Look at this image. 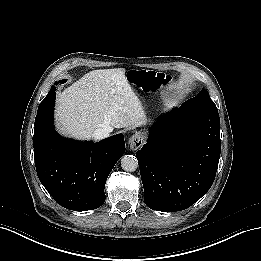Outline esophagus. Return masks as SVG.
I'll return each instance as SVG.
<instances>
[{"instance_id":"34e87169","label":"esophagus","mask_w":261,"mask_h":261,"mask_svg":"<svg viewBox=\"0 0 261 261\" xmlns=\"http://www.w3.org/2000/svg\"><path fill=\"white\" fill-rule=\"evenodd\" d=\"M128 144L130 146V149H132L133 151L138 150L144 144V137H143V135L141 133L133 134L129 138Z\"/></svg>"}]
</instances>
